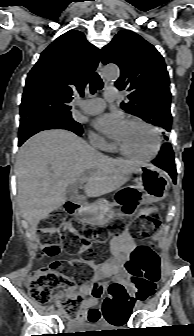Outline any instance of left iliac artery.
Here are the masks:
<instances>
[{
	"instance_id": "1",
	"label": "left iliac artery",
	"mask_w": 194,
	"mask_h": 336,
	"mask_svg": "<svg viewBox=\"0 0 194 336\" xmlns=\"http://www.w3.org/2000/svg\"><path fill=\"white\" fill-rule=\"evenodd\" d=\"M137 305H141V303H140V302H138V303H137Z\"/></svg>"
}]
</instances>
